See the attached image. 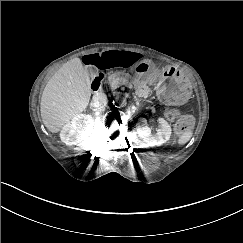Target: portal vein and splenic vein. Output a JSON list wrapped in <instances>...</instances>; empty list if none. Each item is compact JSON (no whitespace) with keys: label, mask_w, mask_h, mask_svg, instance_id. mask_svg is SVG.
<instances>
[{"label":"portal vein and splenic vein","mask_w":243,"mask_h":243,"mask_svg":"<svg viewBox=\"0 0 243 243\" xmlns=\"http://www.w3.org/2000/svg\"><path fill=\"white\" fill-rule=\"evenodd\" d=\"M120 85H126V87L129 89L133 88V85L131 84V82L128 81L127 78H124V77L117 78L111 86L113 89H116L117 86H120Z\"/></svg>","instance_id":"18ae733b"}]
</instances>
